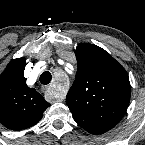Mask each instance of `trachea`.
I'll use <instances>...</instances> for the list:
<instances>
[{
    "label": "trachea",
    "instance_id": "3493384b",
    "mask_svg": "<svg viewBox=\"0 0 145 145\" xmlns=\"http://www.w3.org/2000/svg\"><path fill=\"white\" fill-rule=\"evenodd\" d=\"M40 81L42 84H48L51 81L50 72H44L40 77Z\"/></svg>",
    "mask_w": 145,
    "mask_h": 145
}]
</instances>
